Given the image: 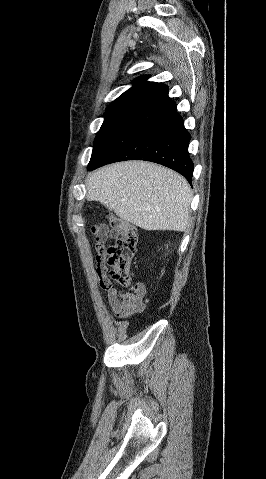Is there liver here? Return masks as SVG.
<instances>
[{
    "label": "liver",
    "mask_w": 266,
    "mask_h": 479,
    "mask_svg": "<svg viewBox=\"0 0 266 479\" xmlns=\"http://www.w3.org/2000/svg\"><path fill=\"white\" fill-rule=\"evenodd\" d=\"M88 201H99L144 230L186 231L192 200L186 179L144 161L108 165L86 178Z\"/></svg>",
    "instance_id": "6515ba94"
}]
</instances>
